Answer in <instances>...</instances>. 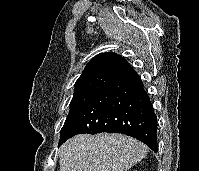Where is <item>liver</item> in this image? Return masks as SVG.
<instances>
[{
    "mask_svg": "<svg viewBox=\"0 0 199 171\" xmlns=\"http://www.w3.org/2000/svg\"><path fill=\"white\" fill-rule=\"evenodd\" d=\"M147 152L146 145L123 134H80L61 146L60 171H128Z\"/></svg>",
    "mask_w": 199,
    "mask_h": 171,
    "instance_id": "liver-1",
    "label": "liver"
}]
</instances>
